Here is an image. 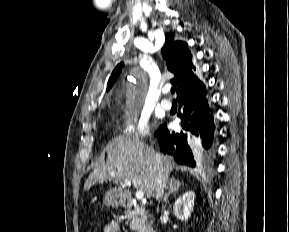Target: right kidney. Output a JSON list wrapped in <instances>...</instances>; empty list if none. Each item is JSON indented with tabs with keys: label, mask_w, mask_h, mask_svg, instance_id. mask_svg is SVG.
<instances>
[{
	"label": "right kidney",
	"mask_w": 289,
	"mask_h": 232,
	"mask_svg": "<svg viewBox=\"0 0 289 232\" xmlns=\"http://www.w3.org/2000/svg\"><path fill=\"white\" fill-rule=\"evenodd\" d=\"M194 197L193 191H187L175 201L173 212L177 219L188 220L193 211Z\"/></svg>",
	"instance_id": "obj_1"
}]
</instances>
